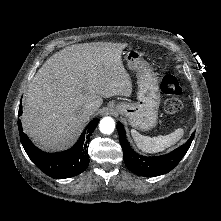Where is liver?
Segmentation results:
<instances>
[{"mask_svg":"<svg viewBox=\"0 0 221 221\" xmlns=\"http://www.w3.org/2000/svg\"><path fill=\"white\" fill-rule=\"evenodd\" d=\"M126 43L75 44L52 55L32 79L22 114L24 132L41 148L67 147L90 115L84 107L102 98L129 97L132 82L121 54Z\"/></svg>","mask_w":221,"mask_h":221,"instance_id":"6515ba94","label":"liver"}]
</instances>
